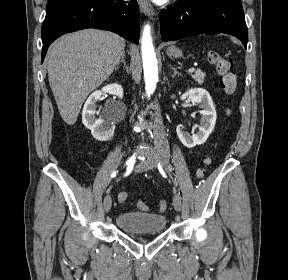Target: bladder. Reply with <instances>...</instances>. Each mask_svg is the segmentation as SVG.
<instances>
[{
    "instance_id": "31cf9c89",
    "label": "bladder",
    "mask_w": 288,
    "mask_h": 280,
    "mask_svg": "<svg viewBox=\"0 0 288 280\" xmlns=\"http://www.w3.org/2000/svg\"><path fill=\"white\" fill-rule=\"evenodd\" d=\"M115 223L126 233H157L164 230L166 217L157 213L124 212L117 215Z\"/></svg>"
}]
</instances>
